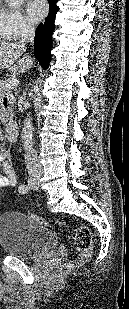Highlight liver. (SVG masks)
Listing matches in <instances>:
<instances>
[{
  "label": "liver",
  "mask_w": 129,
  "mask_h": 309,
  "mask_svg": "<svg viewBox=\"0 0 129 309\" xmlns=\"http://www.w3.org/2000/svg\"><path fill=\"white\" fill-rule=\"evenodd\" d=\"M25 52V47L20 43L0 41V69H8L13 74L25 73L33 65L29 56H20Z\"/></svg>",
  "instance_id": "liver-1"
}]
</instances>
